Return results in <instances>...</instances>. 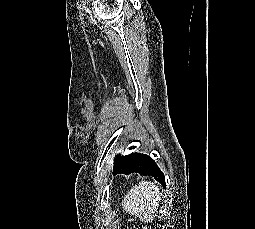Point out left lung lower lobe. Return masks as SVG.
<instances>
[{
  "label": "left lung lower lobe",
  "mask_w": 255,
  "mask_h": 229,
  "mask_svg": "<svg viewBox=\"0 0 255 229\" xmlns=\"http://www.w3.org/2000/svg\"><path fill=\"white\" fill-rule=\"evenodd\" d=\"M134 172L140 175L153 176L162 186L166 187L164 174L150 156L131 153L122 157L119 155L115 158L114 174H131Z\"/></svg>",
  "instance_id": "left-lung-lower-lobe-1"
}]
</instances>
